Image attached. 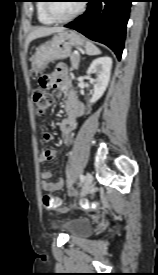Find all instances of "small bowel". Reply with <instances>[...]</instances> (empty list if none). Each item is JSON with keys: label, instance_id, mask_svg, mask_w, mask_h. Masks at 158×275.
<instances>
[{"label": "small bowel", "instance_id": "small-bowel-1", "mask_svg": "<svg viewBox=\"0 0 158 275\" xmlns=\"http://www.w3.org/2000/svg\"><path fill=\"white\" fill-rule=\"evenodd\" d=\"M43 78H46L49 81L48 88L54 89L58 92L67 90V100L65 103L67 117L62 120L60 124V130L63 144L65 146H70L77 127V119L84 114V106L71 87L68 67L66 64H58L52 74L44 76ZM41 131L45 142H48L52 139L51 126L49 124H43ZM55 157L56 150L46 148L41 152L40 161H51ZM51 175L52 173L50 170H44L41 172L40 185L41 188L46 192L60 190L64 185V180L62 178H59L56 181H51Z\"/></svg>", "mask_w": 158, "mask_h": 275}]
</instances>
